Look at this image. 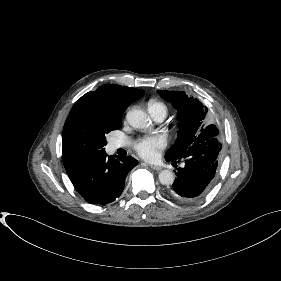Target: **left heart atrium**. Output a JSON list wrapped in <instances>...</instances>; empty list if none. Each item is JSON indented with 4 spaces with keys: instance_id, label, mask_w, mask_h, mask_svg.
I'll return each instance as SVG.
<instances>
[{
    "instance_id": "obj_1",
    "label": "left heart atrium",
    "mask_w": 281,
    "mask_h": 281,
    "mask_svg": "<svg viewBox=\"0 0 281 281\" xmlns=\"http://www.w3.org/2000/svg\"><path fill=\"white\" fill-rule=\"evenodd\" d=\"M165 146V140L161 136L145 137L135 144L138 154L147 160H153L158 156L159 150Z\"/></svg>"
}]
</instances>
